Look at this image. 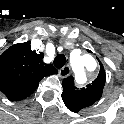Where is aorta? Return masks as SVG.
Returning a JSON list of instances; mask_svg holds the SVG:
<instances>
[{
  "label": "aorta",
  "mask_w": 124,
  "mask_h": 124,
  "mask_svg": "<svg viewBox=\"0 0 124 124\" xmlns=\"http://www.w3.org/2000/svg\"><path fill=\"white\" fill-rule=\"evenodd\" d=\"M71 64L76 71V80L79 84H84L87 81L84 69H83V57L77 55H71Z\"/></svg>",
  "instance_id": "1"
}]
</instances>
